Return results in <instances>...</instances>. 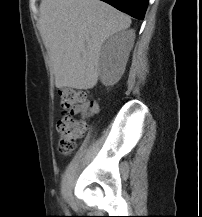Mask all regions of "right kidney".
<instances>
[{"label": "right kidney", "instance_id": "ca27d5eb", "mask_svg": "<svg viewBox=\"0 0 202 217\" xmlns=\"http://www.w3.org/2000/svg\"><path fill=\"white\" fill-rule=\"evenodd\" d=\"M135 31L123 30L108 38L99 61L100 80L105 86L116 84L123 75L134 45Z\"/></svg>", "mask_w": 202, "mask_h": 217}]
</instances>
